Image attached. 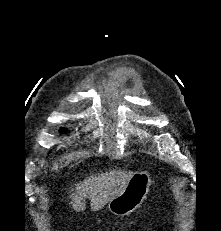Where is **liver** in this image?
I'll list each match as a JSON object with an SVG mask.
<instances>
[{"mask_svg": "<svg viewBox=\"0 0 221 231\" xmlns=\"http://www.w3.org/2000/svg\"><path fill=\"white\" fill-rule=\"evenodd\" d=\"M132 175L131 171L113 170L80 182L75 190L70 192L72 209L76 212L84 210V198L90 200L92 211L102 209L111 199L123 192Z\"/></svg>", "mask_w": 221, "mask_h": 231, "instance_id": "liver-1", "label": "liver"}]
</instances>
